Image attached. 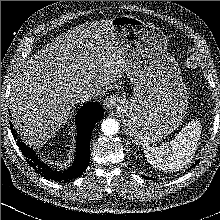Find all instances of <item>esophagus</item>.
Returning a JSON list of instances; mask_svg holds the SVG:
<instances>
[{
    "label": "esophagus",
    "instance_id": "34e87169",
    "mask_svg": "<svg viewBox=\"0 0 220 220\" xmlns=\"http://www.w3.org/2000/svg\"><path fill=\"white\" fill-rule=\"evenodd\" d=\"M120 103V99L116 95L108 96L103 105L106 110L114 111Z\"/></svg>",
    "mask_w": 220,
    "mask_h": 220
}]
</instances>
